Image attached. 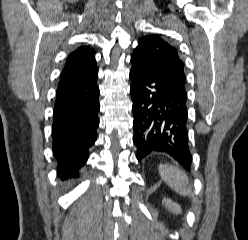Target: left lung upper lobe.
<instances>
[{"label": "left lung upper lobe", "instance_id": "obj_1", "mask_svg": "<svg viewBox=\"0 0 248 240\" xmlns=\"http://www.w3.org/2000/svg\"><path fill=\"white\" fill-rule=\"evenodd\" d=\"M132 59L186 95L184 62L178 50L164 38L157 34L141 37L133 51Z\"/></svg>", "mask_w": 248, "mask_h": 240}]
</instances>
